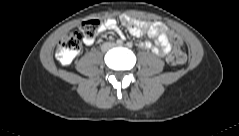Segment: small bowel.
I'll return each mask as SVG.
<instances>
[{"label":"small bowel","mask_w":239,"mask_h":136,"mask_svg":"<svg viewBox=\"0 0 239 136\" xmlns=\"http://www.w3.org/2000/svg\"><path fill=\"white\" fill-rule=\"evenodd\" d=\"M121 23L127 28L129 33L135 37H141L147 34L154 39L155 45L146 42L142 46L146 49H151L153 52L160 56H166L171 50V44L168 39V28L160 22H146L140 20H134L129 16L123 15L120 18ZM101 32L114 30L117 31V23L115 19H108L99 28ZM122 36V35H121ZM123 37V36H122ZM94 39L84 38L85 45H92Z\"/></svg>","instance_id":"c3829d8e"}]
</instances>
